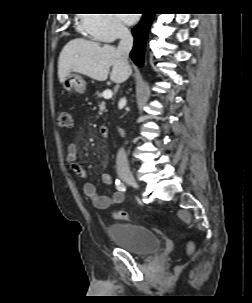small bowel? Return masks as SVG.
<instances>
[{
	"mask_svg": "<svg viewBox=\"0 0 252 303\" xmlns=\"http://www.w3.org/2000/svg\"><path fill=\"white\" fill-rule=\"evenodd\" d=\"M78 147L77 144L71 143L67 146L66 162L70 170L80 178L86 177V172L77 162ZM101 181L106 187L113 186V179L110 174L104 173L101 176ZM84 194L91 200L93 206L97 209H108L115 204L123 202L125 196L122 191L118 190L112 196L101 195L97 193L95 186L92 183H85L83 186Z\"/></svg>",
	"mask_w": 252,
	"mask_h": 303,
	"instance_id": "obj_1",
	"label": "small bowel"
}]
</instances>
